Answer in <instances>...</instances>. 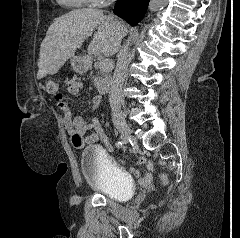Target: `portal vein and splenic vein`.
<instances>
[{"label": "portal vein and splenic vein", "mask_w": 240, "mask_h": 238, "mask_svg": "<svg viewBox=\"0 0 240 238\" xmlns=\"http://www.w3.org/2000/svg\"><path fill=\"white\" fill-rule=\"evenodd\" d=\"M89 53H91V54H97V53L95 52V49L90 50ZM100 65H101V67H102L103 69H108V68L111 66V62L108 61V60H102V61L100 62Z\"/></svg>", "instance_id": "18ae733b"}]
</instances>
